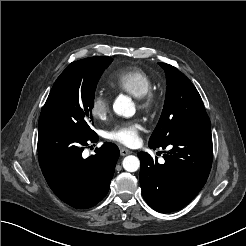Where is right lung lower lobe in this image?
Masks as SVG:
<instances>
[{"label":"right lung lower lobe","instance_id":"98d812e1","mask_svg":"<svg viewBox=\"0 0 246 246\" xmlns=\"http://www.w3.org/2000/svg\"><path fill=\"white\" fill-rule=\"evenodd\" d=\"M97 140L96 133L84 136L64 130H39L38 158L42 173L53 192L72 207L90 208L109 191L119 149L106 142L94 155L84 159V146Z\"/></svg>","mask_w":246,"mask_h":246}]
</instances>
